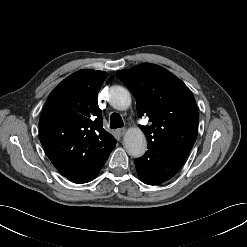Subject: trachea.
<instances>
[{"label": "trachea", "instance_id": "1", "mask_svg": "<svg viewBox=\"0 0 247 247\" xmlns=\"http://www.w3.org/2000/svg\"><path fill=\"white\" fill-rule=\"evenodd\" d=\"M122 117L118 113H112L110 116V127L112 129L123 127Z\"/></svg>", "mask_w": 247, "mask_h": 247}]
</instances>
